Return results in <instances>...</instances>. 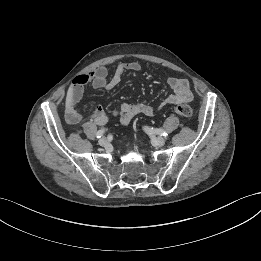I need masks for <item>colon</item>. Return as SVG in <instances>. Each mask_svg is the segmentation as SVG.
Listing matches in <instances>:
<instances>
[{
  "label": "colon",
  "mask_w": 261,
  "mask_h": 261,
  "mask_svg": "<svg viewBox=\"0 0 261 261\" xmlns=\"http://www.w3.org/2000/svg\"><path fill=\"white\" fill-rule=\"evenodd\" d=\"M174 111L184 117V118H191L193 116V109L190 105L187 104H179L174 108Z\"/></svg>",
  "instance_id": "1"
}]
</instances>
